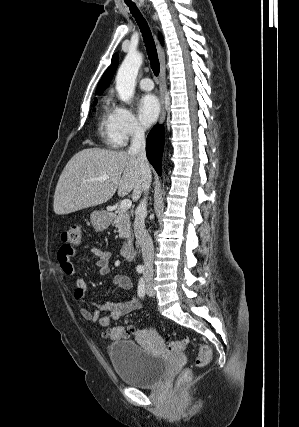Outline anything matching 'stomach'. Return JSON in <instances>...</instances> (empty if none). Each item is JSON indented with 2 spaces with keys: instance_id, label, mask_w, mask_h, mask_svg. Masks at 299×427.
Wrapping results in <instances>:
<instances>
[{
  "instance_id": "1",
  "label": "stomach",
  "mask_w": 299,
  "mask_h": 427,
  "mask_svg": "<svg viewBox=\"0 0 299 427\" xmlns=\"http://www.w3.org/2000/svg\"><path fill=\"white\" fill-rule=\"evenodd\" d=\"M91 223L96 230H104L110 224V218L105 211H94L90 215Z\"/></svg>"
}]
</instances>
